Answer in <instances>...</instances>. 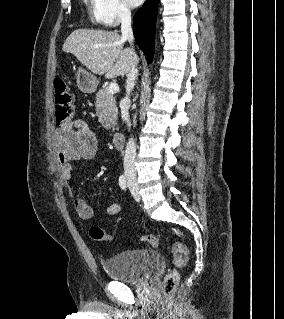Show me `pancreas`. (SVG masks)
I'll use <instances>...</instances> for the list:
<instances>
[{"instance_id":"pancreas-1","label":"pancreas","mask_w":284,"mask_h":319,"mask_svg":"<svg viewBox=\"0 0 284 319\" xmlns=\"http://www.w3.org/2000/svg\"><path fill=\"white\" fill-rule=\"evenodd\" d=\"M96 114L101 125L108 129L114 128L117 122L118 109L116 98L107 88L100 89L96 93Z\"/></svg>"}]
</instances>
